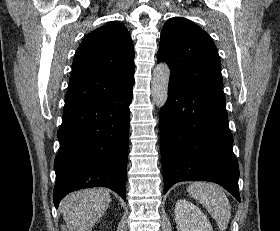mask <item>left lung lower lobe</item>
<instances>
[{
  "instance_id": "1",
  "label": "left lung lower lobe",
  "mask_w": 280,
  "mask_h": 231,
  "mask_svg": "<svg viewBox=\"0 0 280 231\" xmlns=\"http://www.w3.org/2000/svg\"><path fill=\"white\" fill-rule=\"evenodd\" d=\"M160 138L164 193L177 182L211 181L240 202L239 167L222 91L169 83Z\"/></svg>"
}]
</instances>
